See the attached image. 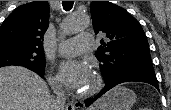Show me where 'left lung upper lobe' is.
Returning a JSON list of instances; mask_svg holds the SVG:
<instances>
[{
	"instance_id": "1",
	"label": "left lung upper lobe",
	"mask_w": 171,
	"mask_h": 110,
	"mask_svg": "<svg viewBox=\"0 0 171 110\" xmlns=\"http://www.w3.org/2000/svg\"><path fill=\"white\" fill-rule=\"evenodd\" d=\"M95 33H103L96 57L105 82L129 72L154 73L149 44L140 23L109 1H92Z\"/></svg>"
}]
</instances>
